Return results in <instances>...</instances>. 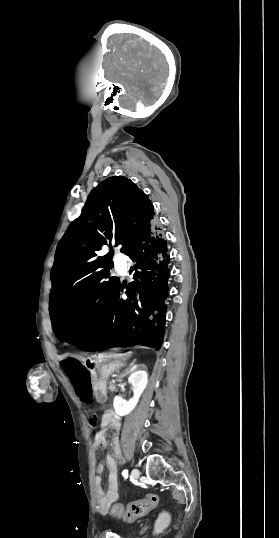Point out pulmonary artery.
Here are the masks:
<instances>
[{
    "instance_id": "pulmonary-artery-1",
    "label": "pulmonary artery",
    "mask_w": 279,
    "mask_h": 538,
    "mask_svg": "<svg viewBox=\"0 0 279 538\" xmlns=\"http://www.w3.org/2000/svg\"><path fill=\"white\" fill-rule=\"evenodd\" d=\"M122 270H123V271H125V270H126V268H123Z\"/></svg>"
}]
</instances>
